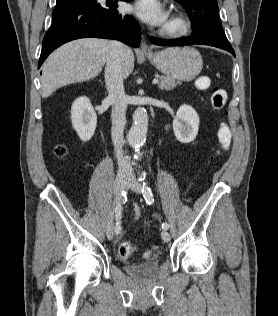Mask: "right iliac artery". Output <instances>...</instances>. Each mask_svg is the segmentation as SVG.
<instances>
[{
  "mask_svg": "<svg viewBox=\"0 0 278 316\" xmlns=\"http://www.w3.org/2000/svg\"><path fill=\"white\" fill-rule=\"evenodd\" d=\"M121 196L126 197V191L123 190ZM121 203L120 201L117 203V206L115 208V217H116V225H115V233L119 234L121 232V223H120V218H121Z\"/></svg>",
  "mask_w": 278,
  "mask_h": 316,
  "instance_id": "82829eb1",
  "label": "right iliac artery"
}]
</instances>
